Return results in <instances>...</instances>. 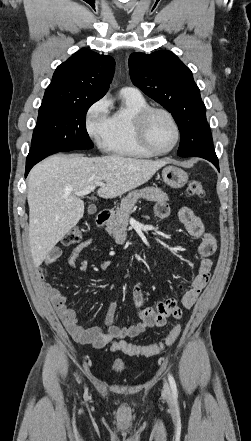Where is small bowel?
<instances>
[{
    "label": "small bowel",
    "instance_id": "c3829d8e",
    "mask_svg": "<svg viewBox=\"0 0 251 441\" xmlns=\"http://www.w3.org/2000/svg\"><path fill=\"white\" fill-rule=\"evenodd\" d=\"M155 215L164 219L169 216V206L165 202H158L155 205ZM178 218L186 227L187 232L194 238L201 239L197 247L200 261L197 265L196 275L192 278L189 287L184 290L181 304L174 298L158 302L152 306L144 305V288L142 283L137 282L132 287V298L138 307L140 322L127 327H119L114 324L117 304L110 302L105 317L106 331L98 326L83 327L78 324L76 312L67 305V297L58 288L48 282H44V290L56 309L66 330L71 337L80 344L91 345L94 348H102L111 341H121L124 338H133L142 334L146 329L163 327L168 317L181 318L184 310L190 309L197 301L200 293L210 279L212 260L210 256L216 250L215 237L205 231L201 219L194 214L189 207H181L178 210ZM92 244L91 239L79 243L71 251L68 257V264L75 267L80 254ZM61 255L58 247L53 248L38 271V278L44 280V266L53 264ZM112 265L111 261H104L100 270L105 271Z\"/></svg>",
    "mask_w": 251,
    "mask_h": 441
}]
</instances>
